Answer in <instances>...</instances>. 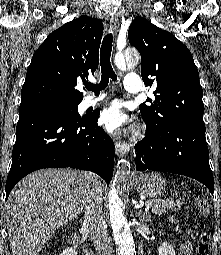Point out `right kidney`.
<instances>
[{
    "label": "right kidney",
    "mask_w": 221,
    "mask_h": 255,
    "mask_svg": "<svg viewBox=\"0 0 221 255\" xmlns=\"http://www.w3.org/2000/svg\"><path fill=\"white\" fill-rule=\"evenodd\" d=\"M60 255H77V251L73 248H66Z\"/></svg>",
    "instance_id": "obj_1"
}]
</instances>
